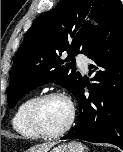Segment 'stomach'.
Listing matches in <instances>:
<instances>
[{"mask_svg": "<svg viewBox=\"0 0 123 152\" xmlns=\"http://www.w3.org/2000/svg\"><path fill=\"white\" fill-rule=\"evenodd\" d=\"M49 152H86V148L76 141L61 144L57 147H54Z\"/></svg>", "mask_w": 123, "mask_h": 152, "instance_id": "stomach-1", "label": "stomach"}]
</instances>
